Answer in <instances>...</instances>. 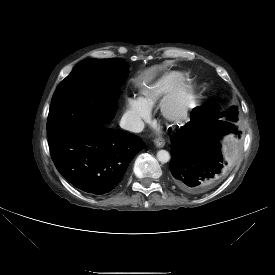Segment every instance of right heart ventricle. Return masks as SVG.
I'll use <instances>...</instances> for the list:
<instances>
[{"label": "right heart ventricle", "instance_id": "right-heart-ventricle-1", "mask_svg": "<svg viewBox=\"0 0 275 275\" xmlns=\"http://www.w3.org/2000/svg\"><path fill=\"white\" fill-rule=\"evenodd\" d=\"M178 71L170 70L161 73L153 81L141 87L137 100L148 110L153 108L164 96L174 82Z\"/></svg>", "mask_w": 275, "mask_h": 275}]
</instances>
